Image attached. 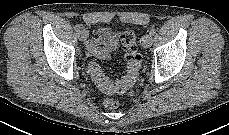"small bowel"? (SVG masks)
Here are the masks:
<instances>
[{"instance_id":"1","label":"small bowel","mask_w":229,"mask_h":135,"mask_svg":"<svg viewBox=\"0 0 229 135\" xmlns=\"http://www.w3.org/2000/svg\"><path fill=\"white\" fill-rule=\"evenodd\" d=\"M104 40L108 43V49H109V51H114L116 49L117 43L115 41V38L109 32H107L104 35ZM91 46H95V44L92 43ZM95 53H97V54H99L101 56H105V53L104 52L95 51Z\"/></svg>"}]
</instances>
